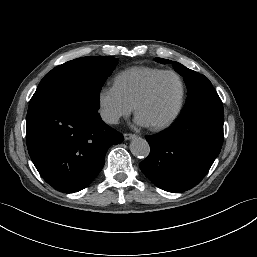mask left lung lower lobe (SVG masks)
I'll list each match as a JSON object with an SVG mask.
<instances>
[{
    "mask_svg": "<svg viewBox=\"0 0 257 257\" xmlns=\"http://www.w3.org/2000/svg\"><path fill=\"white\" fill-rule=\"evenodd\" d=\"M224 110L221 99L181 113L164 132L145 137L150 154L139 167L157 187L183 192L197 185L220 153Z\"/></svg>",
    "mask_w": 257,
    "mask_h": 257,
    "instance_id": "left-lung-lower-lobe-1",
    "label": "left lung lower lobe"
}]
</instances>
